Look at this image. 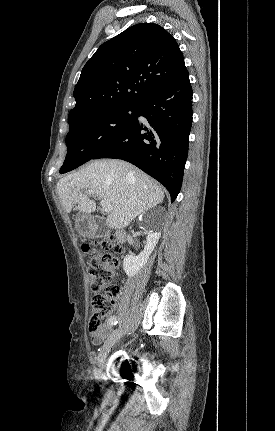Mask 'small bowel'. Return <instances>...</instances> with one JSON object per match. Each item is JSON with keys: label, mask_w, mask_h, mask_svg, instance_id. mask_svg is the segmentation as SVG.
Masks as SVG:
<instances>
[{"label": "small bowel", "mask_w": 275, "mask_h": 431, "mask_svg": "<svg viewBox=\"0 0 275 431\" xmlns=\"http://www.w3.org/2000/svg\"><path fill=\"white\" fill-rule=\"evenodd\" d=\"M108 332H109V329L108 328H106L104 331H102L101 333H99V334H97V335H95V336H91V342L94 344V345H99L101 342H102V340L106 337V335L108 334Z\"/></svg>", "instance_id": "1"}]
</instances>
